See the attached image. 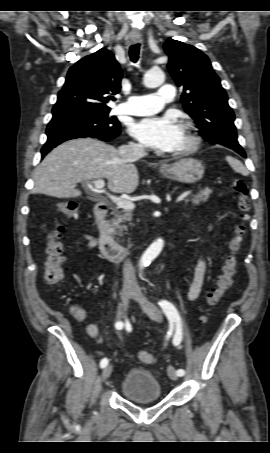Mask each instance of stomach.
Returning a JSON list of instances; mask_svg holds the SVG:
<instances>
[{
    "label": "stomach",
    "mask_w": 270,
    "mask_h": 453,
    "mask_svg": "<svg viewBox=\"0 0 270 453\" xmlns=\"http://www.w3.org/2000/svg\"><path fill=\"white\" fill-rule=\"evenodd\" d=\"M163 176L186 184H192L202 179L204 166L193 158H184L160 168Z\"/></svg>",
    "instance_id": "1"
}]
</instances>
